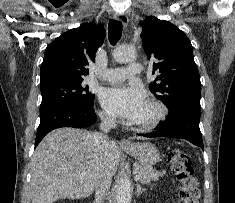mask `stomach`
<instances>
[{
	"instance_id": "stomach-1",
	"label": "stomach",
	"mask_w": 235,
	"mask_h": 203,
	"mask_svg": "<svg viewBox=\"0 0 235 203\" xmlns=\"http://www.w3.org/2000/svg\"><path fill=\"white\" fill-rule=\"evenodd\" d=\"M123 149L137 158L142 165L152 166L161 158L159 150L151 143H136L131 148L124 147Z\"/></svg>"
}]
</instances>
